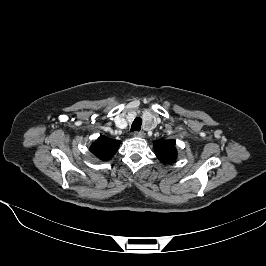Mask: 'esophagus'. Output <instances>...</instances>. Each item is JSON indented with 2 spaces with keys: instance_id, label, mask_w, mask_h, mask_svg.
<instances>
[{
  "instance_id": "1",
  "label": "esophagus",
  "mask_w": 266,
  "mask_h": 266,
  "mask_svg": "<svg viewBox=\"0 0 266 266\" xmlns=\"http://www.w3.org/2000/svg\"><path fill=\"white\" fill-rule=\"evenodd\" d=\"M145 133L143 131H136L134 132L135 137H144Z\"/></svg>"
}]
</instances>
